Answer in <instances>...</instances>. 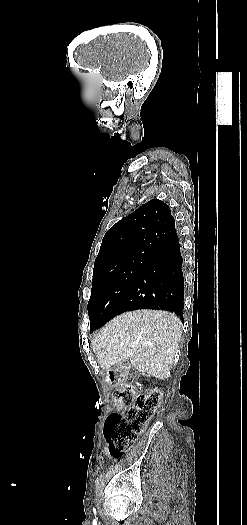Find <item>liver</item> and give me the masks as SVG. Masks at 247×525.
I'll use <instances>...</instances> for the list:
<instances>
[{"instance_id": "obj_1", "label": "liver", "mask_w": 247, "mask_h": 525, "mask_svg": "<svg viewBox=\"0 0 247 525\" xmlns=\"http://www.w3.org/2000/svg\"><path fill=\"white\" fill-rule=\"evenodd\" d=\"M182 323L169 311L139 309L118 315L92 339L101 369L130 361L134 369L159 381L176 361Z\"/></svg>"}]
</instances>
